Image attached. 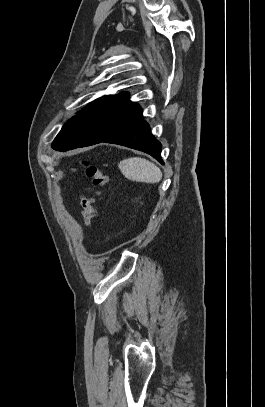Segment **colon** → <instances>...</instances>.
<instances>
[{"mask_svg":"<svg viewBox=\"0 0 265 407\" xmlns=\"http://www.w3.org/2000/svg\"><path fill=\"white\" fill-rule=\"evenodd\" d=\"M82 164L87 177L91 181V186L81 196L83 223L86 228H89L96 216V201L103 197V190L107 185L108 178L100 166L87 161H83Z\"/></svg>","mask_w":265,"mask_h":407,"instance_id":"obj_1","label":"colon"}]
</instances>
